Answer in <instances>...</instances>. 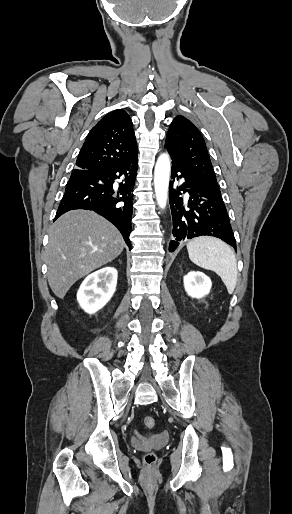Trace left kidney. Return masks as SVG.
I'll list each match as a JSON object with an SVG mask.
<instances>
[{
    "label": "left kidney",
    "mask_w": 292,
    "mask_h": 514,
    "mask_svg": "<svg viewBox=\"0 0 292 514\" xmlns=\"http://www.w3.org/2000/svg\"><path fill=\"white\" fill-rule=\"evenodd\" d=\"M212 282L202 272H189L184 276V288L191 298H204L211 290Z\"/></svg>",
    "instance_id": "obj_1"
}]
</instances>
